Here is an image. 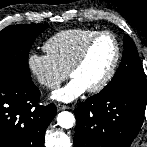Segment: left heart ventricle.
Wrapping results in <instances>:
<instances>
[{
	"instance_id": "left-heart-ventricle-1",
	"label": "left heart ventricle",
	"mask_w": 147,
	"mask_h": 147,
	"mask_svg": "<svg viewBox=\"0 0 147 147\" xmlns=\"http://www.w3.org/2000/svg\"><path fill=\"white\" fill-rule=\"evenodd\" d=\"M115 56V45L110 36H102L91 47L85 62L73 73L89 89L107 74Z\"/></svg>"
}]
</instances>
